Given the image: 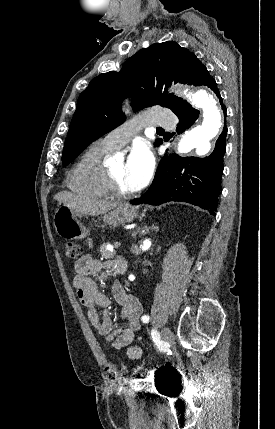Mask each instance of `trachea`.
Listing matches in <instances>:
<instances>
[{
    "mask_svg": "<svg viewBox=\"0 0 275 429\" xmlns=\"http://www.w3.org/2000/svg\"><path fill=\"white\" fill-rule=\"evenodd\" d=\"M157 131H164L163 128H157Z\"/></svg>",
    "mask_w": 275,
    "mask_h": 429,
    "instance_id": "obj_1",
    "label": "trachea"
}]
</instances>
